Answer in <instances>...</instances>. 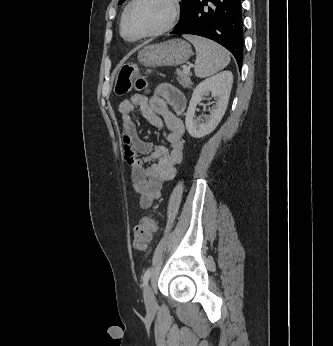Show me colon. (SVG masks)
<instances>
[{
  "mask_svg": "<svg viewBox=\"0 0 333 346\" xmlns=\"http://www.w3.org/2000/svg\"><path fill=\"white\" fill-rule=\"evenodd\" d=\"M133 86L139 90H143L147 87V83L144 78L138 74V69L134 64L123 65L117 75L115 93L118 96L128 94ZM157 223L153 217H145L134 228L133 238L134 246L138 250L146 248L151 241L152 234L156 231Z\"/></svg>",
  "mask_w": 333,
  "mask_h": 346,
  "instance_id": "1",
  "label": "colon"
}]
</instances>
